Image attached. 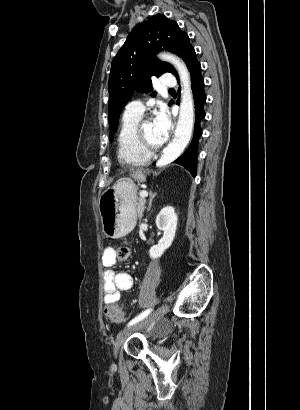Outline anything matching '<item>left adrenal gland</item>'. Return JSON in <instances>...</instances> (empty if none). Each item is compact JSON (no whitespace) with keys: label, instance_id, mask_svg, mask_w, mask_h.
Listing matches in <instances>:
<instances>
[{"label":"left adrenal gland","instance_id":"a2214340","mask_svg":"<svg viewBox=\"0 0 300 410\" xmlns=\"http://www.w3.org/2000/svg\"><path fill=\"white\" fill-rule=\"evenodd\" d=\"M155 196H156V193H152L151 191L149 192V197H150V199H149L147 211H150V210H151L152 202H153V199L155 198Z\"/></svg>","mask_w":300,"mask_h":410}]
</instances>
